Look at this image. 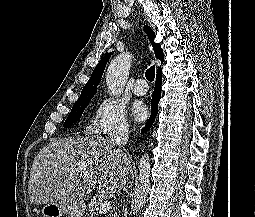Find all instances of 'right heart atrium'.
Masks as SVG:
<instances>
[{
  "mask_svg": "<svg viewBox=\"0 0 255 217\" xmlns=\"http://www.w3.org/2000/svg\"><path fill=\"white\" fill-rule=\"evenodd\" d=\"M87 131L95 135H120L128 131L125 106L118 100L105 97L96 105Z\"/></svg>",
  "mask_w": 255,
  "mask_h": 217,
  "instance_id": "right-heart-atrium-1",
  "label": "right heart atrium"
}]
</instances>
